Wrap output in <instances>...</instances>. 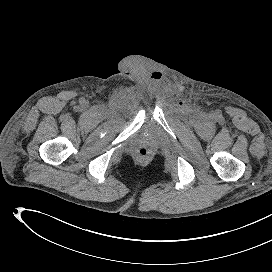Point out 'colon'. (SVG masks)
Wrapping results in <instances>:
<instances>
[{"instance_id": "1", "label": "colon", "mask_w": 272, "mask_h": 272, "mask_svg": "<svg viewBox=\"0 0 272 272\" xmlns=\"http://www.w3.org/2000/svg\"><path fill=\"white\" fill-rule=\"evenodd\" d=\"M147 150L145 148H141L139 151H138V155L140 158H146L147 157Z\"/></svg>"}]
</instances>
